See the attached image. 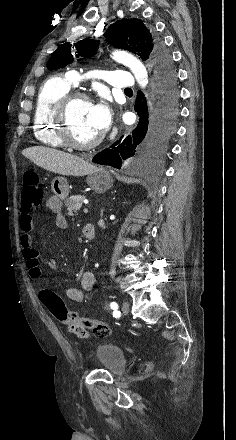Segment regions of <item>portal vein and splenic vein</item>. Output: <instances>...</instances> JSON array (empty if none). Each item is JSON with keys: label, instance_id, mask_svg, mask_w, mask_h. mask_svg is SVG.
I'll return each mask as SVG.
<instances>
[{"label": "portal vein and splenic vein", "instance_id": "18ae733b", "mask_svg": "<svg viewBox=\"0 0 236 440\" xmlns=\"http://www.w3.org/2000/svg\"><path fill=\"white\" fill-rule=\"evenodd\" d=\"M83 211H84V213H88V208L85 207V208L83 209Z\"/></svg>", "mask_w": 236, "mask_h": 440}]
</instances>
